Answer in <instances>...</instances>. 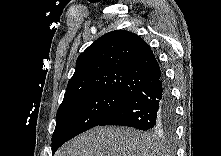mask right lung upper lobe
<instances>
[{
	"instance_id": "1",
	"label": "right lung upper lobe",
	"mask_w": 221,
	"mask_h": 156,
	"mask_svg": "<svg viewBox=\"0 0 221 156\" xmlns=\"http://www.w3.org/2000/svg\"><path fill=\"white\" fill-rule=\"evenodd\" d=\"M161 76L159 64L147 43L124 30L109 32L78 58L63 102L97 93L131 97Z\"/></svg>"
}]
</instances>
